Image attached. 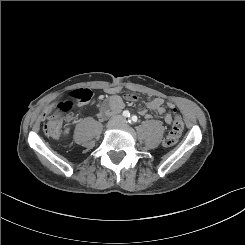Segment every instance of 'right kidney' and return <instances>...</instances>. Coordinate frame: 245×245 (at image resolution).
Returning a JSON list of instances; mask_svg holds the SVG:
<instances>
[{
	"label": "right kidney",
	"mask_w": 245,
	"mask_h": 245,
	"mask_svg": "<svg viewBox=\"0 0 245 245\" xmlns=\"http://www.w3.org/2000/svg\"><path fill=\"white\" fill-rule=\"evenodd\" d=\"M69 131H70V129H69V128H66V129L64 130V132H63L64 135L67 136V135L69 134Z\"/></svg>",
	"instance_id": "obj_1"
}]
</instances>
